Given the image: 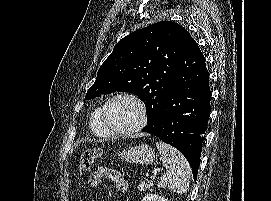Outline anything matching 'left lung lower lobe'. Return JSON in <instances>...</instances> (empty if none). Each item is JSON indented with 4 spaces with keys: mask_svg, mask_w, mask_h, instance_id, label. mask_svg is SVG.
I'll return each instance as SVG.
<instances>
[{
    "mask_svg": "<svg viewBox=\"0 0 271 201\" xmlns=\"http://www.w3.org/2000/svg\"><path fill=\"white\" fill-rule=\"evenodd\" d=\"M209 73L197 43L185 30L178 67L161 107L157 124L145 127L174 146L188 160L194 178L200 164L202 143L210 113Z\"/></svg>",
    "mask_w": 271,
    "mask_h": 201,
    "instance_id": "0a47b994",
    "label": "left lung lower lobe"
}]
</instances>
